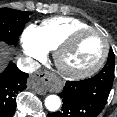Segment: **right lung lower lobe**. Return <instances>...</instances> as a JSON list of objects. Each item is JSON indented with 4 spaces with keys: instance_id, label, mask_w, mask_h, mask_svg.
<instances>
[{
    "instance_id": "obj_1",
    "label": "right lung lower lobe",
    "mask_w": 117,
    "mask_h": 117,
    "mask_svg": "<svg viewBox=\"0 0 117 117\" xmlns=\"http://www.w3.org/2000/svg\"><path fill=\"white\" fill-rule=\"evenodd\" d=\"M28 74L12 62L0 75V117H12L16 109V94L26 89Z\"/></svg>"
}]
</instances>
